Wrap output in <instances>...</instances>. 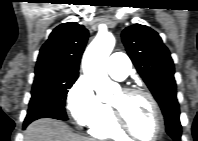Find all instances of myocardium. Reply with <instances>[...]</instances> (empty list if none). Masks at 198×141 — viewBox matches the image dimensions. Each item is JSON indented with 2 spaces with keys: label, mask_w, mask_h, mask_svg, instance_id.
<instances>
[{
  "label": "myocardium",
  "mask_w": 198,
  "mask_h": 141,
  "mask_svg": "<svg viewBox=\"0 0 198 141\" xmlns=\"http://www.w3.org/2000/svg\"><path fill=\"white\" fill-rule=\"evenodd\" d=\"M122 92L125 95H142V96H145L149 100V102L154 110L157 130H156L154 137L148 141H157L161 137V135L164 131V121H163L161 109H160L159 104H158L157 100L155 99V97L148 91L141 89V88H124L122 90ZM110 107L112 110L114 122H115L116 126L119 128V130L128 137H131V138H134L137 140H141V138H139L131 130V128L129 127V125L127 124V122L125 120L123 113L118 108L113 106L112 104H110Z\"/></svg>",
  "instance_id": "f54148a6"
}]
</instances>
